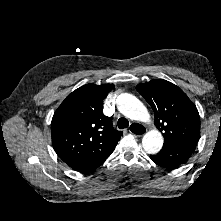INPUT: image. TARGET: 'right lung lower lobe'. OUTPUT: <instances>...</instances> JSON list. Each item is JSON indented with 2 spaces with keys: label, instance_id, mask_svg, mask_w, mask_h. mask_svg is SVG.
Wrapping results in <instances>:
<instances>
[{
  "label": "right lung lower lobe",
  "instance_id": "1",
  "mask_svg": "<svg viewBox=\"0 0 221 221\" xmlns=\"http://www.w3.org/2000/svg\"><path fill=\"white\" fill-rule=\"evenodd\" d=\"M105 160L106 158L91 160L88 162L77 164L76 166H73L72 168L80 172H91L95 170L97 167H99Z\"/></svg>",
  "mask_w": 221,
  "mask_h": 221
}]
</instances>
